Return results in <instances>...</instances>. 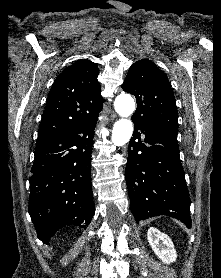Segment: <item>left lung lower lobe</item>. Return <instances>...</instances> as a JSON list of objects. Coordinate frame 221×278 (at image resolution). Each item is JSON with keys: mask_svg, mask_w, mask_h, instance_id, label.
Instances as JSON below:
<instances>
[{"mask_svg": "<svg viewBox=\"0 0 221 278\" xmlns=\"http://www.w3.org/2000/svg\"><path fill=\"white\" fill-rule=\"evenodd\" d=\"M125 177L136 222L168 215L191 227V202L179 156L177 129L149 128L134 122Z\"/></svg>", "mask_w": 221, "mask_h": 278, "instance_id": "0a47b994", "label": "left lung lower lobe"}]
</instances>
